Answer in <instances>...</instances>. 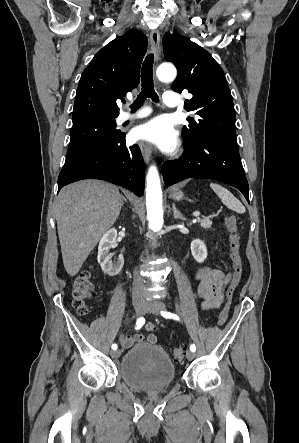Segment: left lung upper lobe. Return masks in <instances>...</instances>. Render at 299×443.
Segmentation results:
<instances>
[{
  "label": "left lung upper lobe",
  "mask_w": 299,
  "mask_h": 443,
  "mask_svg": "<svg viewBox=\"0 0 299 443\" xmlns=\"http://www.w3.org/2000/svg\"><path fill=\"white\" fill-rule=\"evenodd\" d=\"M163 50L165 59L178 69L172 90H188L193 97L186 100L185 108L200 116L188 117L184 140L217 137L237 144L235 109L222 68L205 49L177 33L164 36Z\"/></svg>",
  "instance_id": "obj_1"
}]
</instances>
